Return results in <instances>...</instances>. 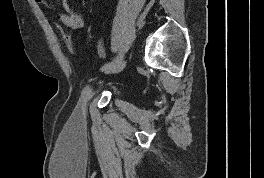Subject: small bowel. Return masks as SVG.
Segmentation results:
<instances>
[{"instance_id":"obj_1","label":"small bowel","mask_w":264,"mask_h":178,"mask_svg":"<svg viewBox=\"0 0 264 178\" xmlns=\"http://www.w3.org/2000/svg\"><path fill=\"white\" fill-rule=\"evenodd\" d=\"M37 4L50 10H54L55 6L51 0H35ZM64 12L59 13L58 20L64 26L72 30H81L84 27V18L75 11L70 0H62ZM99 55L104 58L105 52L102 48L99 49Z\"/></svg>"}]
</instances>
